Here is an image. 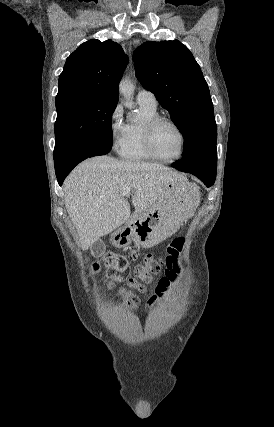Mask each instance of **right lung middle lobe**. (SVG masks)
<instances>
[{
	"label": "right lung middle lobe",
	"instance_id": "dd1d6c3e",
	"mask_svg": "<svg viewBox=\"0 0 274 427\" xmlns=\"http://www.w3.org/2000/svg\"><path fill=\"white\" fill-rule=\"evenodd\" d=\"M118 98H89L56 106L55 168L96 146L112 145V114Z\"/></svg>",
	"mask_w": 274,
	"mask_h": 427
}]
</instances>
